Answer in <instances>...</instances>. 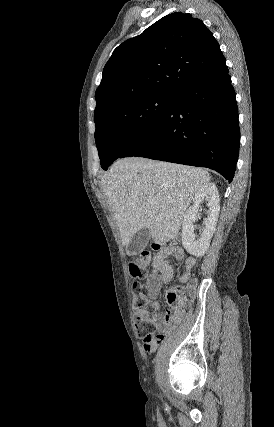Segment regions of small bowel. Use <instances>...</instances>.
<instances>
[{"mask_svg":"<svg viewBox=\"0 0 274 427\" xmlns=\"http://www.w3.org/2000/svg\"><path fill=\"white\" fill-rule=\"evenodd\" d=\"M172 259L183 261L184 268L179 275V281L186 283L196 264L193 256L186 257L184 248L178 244H171L160 248L152 260L150 271L145 272L147 299L154 308L153 322L156 332L150 337H144V351L152 354L164 342L179 322L182 312L178 305L172 307L166 313L159 311L158 294L163 285L169 283L173 278Z\"/></svg>","mask_w":274,"mask_h":427,"instance_id":"c3829d8e","label":"small bowel"}]
</instances>
